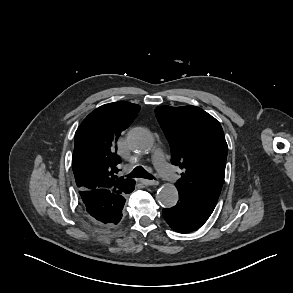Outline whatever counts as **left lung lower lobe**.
<instances>
[{"label": "left lung lower lobe", "instance_id": "obj_1", "mask_svg": "<svg viewBox=\"0 0 293 293\" xmlns=\"http://www.w3.org/2000/svg\"><path fill=\"white\" fill-rule=\"evenodd\" d=\"M213 210L201 203L179 196L175 206L163 209L162 214L169 226L176 232L188 233L200 228Z\"/></svg>", "mask_w": 293, "mask_h": 293}]
</instances>
